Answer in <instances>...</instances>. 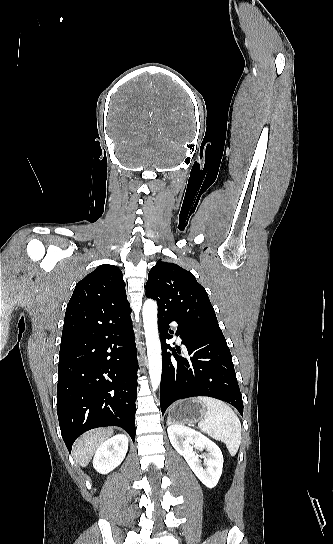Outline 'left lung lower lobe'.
Segmentation results:
<instances>
[{
    "mask_svg": "<svg viewBox=\"0 0 333 544\" xmlns=\"http://www.w3.org/2000/svg\"><path fill=\"white\" fill-rule=\"evenodd\" d=\"M176 321V334L182 339L190 359L178 356L180 347L166 344L170 339L169 323ZM162 347L160 405L162 414L174 401L194 396H208L232 404L243 416V402L237 383L232 356L223 334L190 327L167 312H158ZM167 349L173 351L171 354Z\"/></svg>",
    "mask_w": 333,
    "mask_h": 544,
    "instance_id": "obj_1",
    "label": "left lung lower lobe"
}]
</instances>
